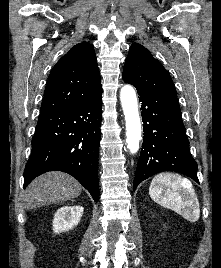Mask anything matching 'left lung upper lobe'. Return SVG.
I'll return each instance as SVG.
<instances>
[{
    "label": "left lung upper lobe",
    "mask_w": 221,
    "mask_h": 268,
    "mask_svg": "<svg viewBox=\"0 0 221 268\" xmlns=\"http://www.w3.org/2000/svg\"><path fill=\"white\" fill-rule=\"evenodd\" d=\"M123 79L137 90L177 96L168 71L144 46L134 43L125 60Z\"/></svg>",
    "instance_id": "obj_1"
}]
</instances>
